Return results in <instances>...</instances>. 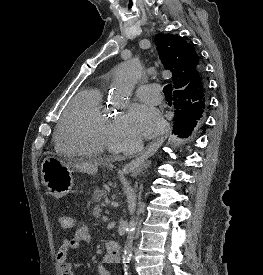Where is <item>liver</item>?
<instances>
[{
    "label": "liver",
    "instance_id": "1",
    "mask_svg": "<svg viewBox=\"0 0 263 275\" xmlns=\"http://www.w3.org/2000/svg\"><path fill=\"white\" fill-rule=\"evenodd\" d=\"M70 165L79 170L80 172L87 174H96L98 171V164L96 162H81L73 164L70 163Z\"/></svg>",
    "mask_w": 263,
    "mask_h": 275
}]
</instances>
